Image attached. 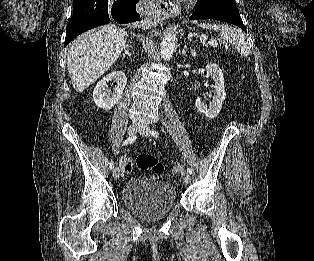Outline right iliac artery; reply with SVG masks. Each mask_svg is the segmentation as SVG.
I'll return each mask as SVG.
<instances>
[{
    "label": "right iliac artery",
    "instance_id": "1",
    "mask_svg": "<svg viewBox=\"0 0 314 261\" xmlns=\"http://www.w3.org/2000/svg\"><path fill=\"white\" fill-rule=\"evenodd\" d=\"M136 136L133 135V136H130L129 138H127L124 142H123V145H127V144H131L133 143L135 140H136ZM110 169L113 170L114 169V162L111 161L110 162Z\"/></svg>",
    "mask_w": 314,
    "mask_h": 261
}]
</instances>
